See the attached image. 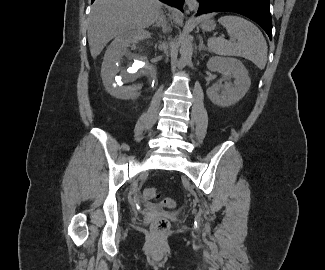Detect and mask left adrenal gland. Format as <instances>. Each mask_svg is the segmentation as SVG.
<instances>
[{"instance_id": "1", "label": "left adrenal gland", "mask_w": 325, "mask_h": 270, "mask_svg": "<svg viewBox=\"0 0 325 270\" xmlns=\"http://www.w3.org/2000/svg\"><path fill=\"white\" fill-rule=\"evenodd\" d=\"M202 50H207V48L205 47L204 43H203V39L202 37H200V41H199V51Z\"/></svg>"}]
</instances>
